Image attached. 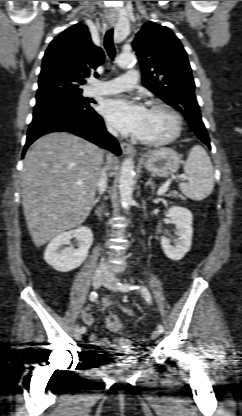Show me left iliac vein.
<instances>
[{
  "label": "left iliac vein",
  "mask_w": 242,
  "mask_h": 416,
  "mask_svg": "<svg viewBox=\"0 0 242 416\" xmlns=\"http://www.w3.org/2000/svg\"><path fill=\"white\" fill-rule=\"evenodd\" d=\"M116 282H117V279L113 275L107 273L105 274V278L102 284L110 290L117 291ZM151 336L153 339H157L160 336V332L158 330H155L152 332Z\"/></svg>",
  "instance_id": "1"
}]
</instances>
